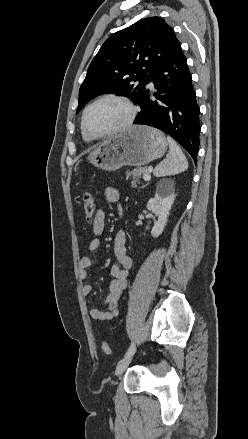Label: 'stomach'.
<instances>
[{"instance_id": "0dacf381", "label": "stomach", "mask_w": 248, "mask_h": 439, "mask_svg": "<svg viewBox=\"0 0 248 439\" xmlns=\"http://www.w3.org/2000/svg\"><path fill=\"white\" fill-rule=\"evenodd\" d=\"M168 146L165 135L148 126H133L128 131L99 143L88 155L95 167L115 171L122 166H144L162 157Z\"/></svg>"}]
</instances>
